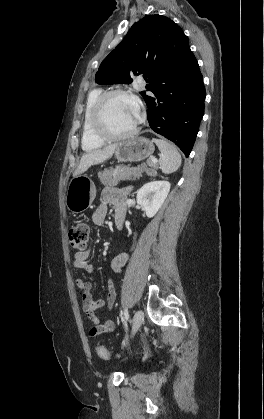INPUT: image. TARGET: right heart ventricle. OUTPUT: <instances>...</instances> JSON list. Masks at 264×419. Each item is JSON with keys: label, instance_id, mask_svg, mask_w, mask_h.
I'll return each mask as SVG.
<instances>
[{"label": "right heart ventricle", "instance_id": "obj_1", "mask_svg": "<svg viewBox=\"0 0 264 419\" xmlns=\"http://www.w3.org/2000/svg\"><path fill=\"white\" fill-rule=\"evenodd\" d=\"M102 92L103 91L101 89H94L89 93L87 97L81 135V146L84 151L95 150L100 148L104 143V141L100 140L93 134L90 122L93 105L97 98L102 94Z\"/></svg>", "mask_w": 264, "mask_h": 419}]
</instances>
